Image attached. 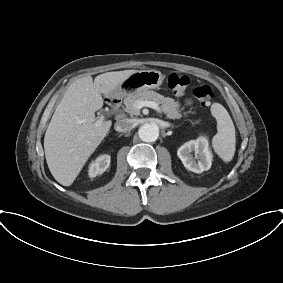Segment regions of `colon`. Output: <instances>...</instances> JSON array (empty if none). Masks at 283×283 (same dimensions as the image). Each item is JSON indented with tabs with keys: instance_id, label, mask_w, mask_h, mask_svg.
<instances>
[{
	"instance_id": "obj_1",
	"label": "colon",
	"mask_w": 283,
	"mask_h": 283,
	"mask_svg": "<svg viewBox=\"0 0 283 283\" xmlns=\"http://www.w3.org/2000/svg\"><path fill=\"white\" fill-rule=\"evenodd\" d=\"M169 88L176 94H183L190 85V78L185 75L171 74L167 80ZM194 96L198 99L202 106L208 107L211 105L214 93L210 86L199 85L193 90Z\"/></svg>"
}]
</instances>
